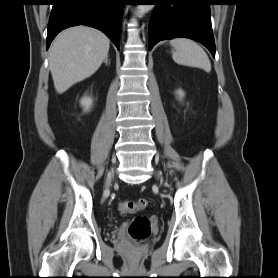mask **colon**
I'll list each match as a JSON object with an SVG mask.
<instances>
[{
	"label": "colon",
	"instance_id": "1",
	"mask_svg": "<svg viewBox=\"0 0 278 278\" xmlns=\"http://www.w3.org/2000/svg\"><path fill=\"white\" fill-rule=\"evenodd\" d=\"M148 200L141 198L136 201H125L120 204L123 213H137L148 207ZM151 232L150 220L143 215L136 216L129 226V235L135 241L145 240Z\"/></svg>",
	"mask_w": 278,
	"mask_h": 278
}]
</instances>
